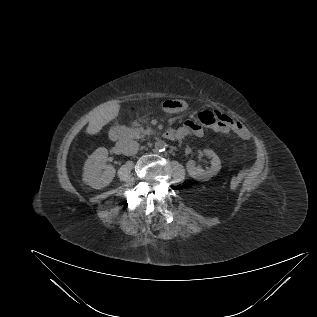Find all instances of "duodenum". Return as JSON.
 Returning <instances> with one entry per match:
<instances>
[{
	"label": "duodenum",
	"instance_id": "obj_1",
	"mask_svg": "<svg viewBox=\"0 0 317 317\" xmlns=\"http://www.w3.org/2000/svg\"><path fill=\"white\" fill-rule=\"evenodd\" d=\"M132 136V131L125 126L118 125L111 129L109 137L112 141H121L129 139ZM164 137L168 140H175L176 133L173 130H168L164 133Z\"/></svg>",
	"mask_w": 317,
	"mask_h": 317
}]
</instances>
